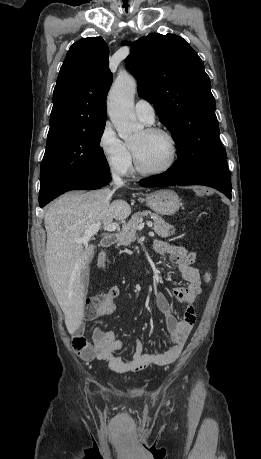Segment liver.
Listing matches in <instances>:
<instances>
[{"label":"liver","mask_w":261,"mask_h":459,"mask_svg":"<svg viewBox=\"0 0 261 459\" xmlns=\"http://www.w3.org/2000/svg\"><path fill=\"white\" fill-rule=\"evenodd\" d=\"M115 190L104 188L91 192H69L56 200L44 216L47 232L46 270L51 288L64 312L70 334L81 325L84 316L82 271L94 246L76 242L92 224L104 226L114 219L123 220L131 213L124 200H110Z\"/></svg>","instance_id":"liver-1"}]
</instances>
